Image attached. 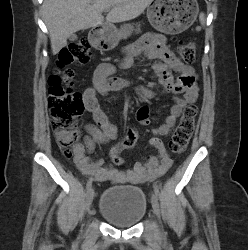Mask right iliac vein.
<instances>
[{
  "mask_svg": "<svg viewBox=\"0 0 248 250\" xmlns=\"http://www.w3.org/2000/svg\"><path fill=\"white\" fill-rule=\"evenodd\" d=\"M94 198V189L91 187L86 193V199H85V210H89L92 204Z\"/></svg>",
  "mask_w": 248,
  "mask_h": 250,
  "instance_id": "right-iliac-vein-1",
  "label": "right iliac vein"
}]
</instances>
